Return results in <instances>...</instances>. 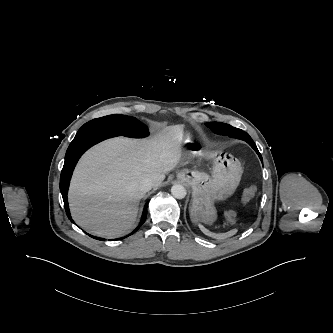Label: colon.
I'll return each instance as SVG.
<instances>
[{"label": "colon", "mask_w": 333, "mask_h": 333, "mask_svg": "<svg viewBox=\"0 0 333 333\" xmlns=\"http://www.w3.org/2000/svg\"><path fill=\"white\" fill-rule=\"evenodd\" d=\"M257 188L254 185L247 187L242 194V202H249L256 194ZM226 218L229 222L234 223L237 219V215L234 211H228L226 213Z\"/></svg>", "instance_id": "5ec220e1"}]
</instances>
